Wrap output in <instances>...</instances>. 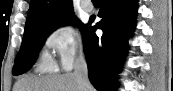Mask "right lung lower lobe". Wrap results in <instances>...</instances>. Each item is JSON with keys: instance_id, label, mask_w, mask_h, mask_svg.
Instances as JSON below:
<instances>
[{"instance_id": "1", "label": "right lung lower lobe", "mask_w": 173, "mask_h": 91, "mask_svg": "<svg viewBox=\"0 0 173 91\" xmlns=\"http://www.w3.org/2000/svg\"><path fill=\"white\" fill-rule=\"evenodd\" d=\"M98 13L102 18L95 26L87 24L83 29L84 50L88 64V76L98 91H113L115 77L120 72L128 49V39L136 25V0H103ZM103 35L99 38L95 31Z\"/></svg>"}]
</instances>
